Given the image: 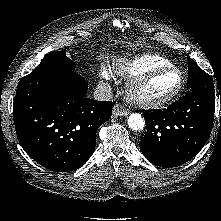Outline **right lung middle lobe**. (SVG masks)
Returning <instances> with one entry per match:
<instances>
[{"label": "right lung middle lobe", "mask_w": 221, "mask_h": 221, "mask_svg": "<svg viewBox=\"0 0 221 221\" xmlns=\"http://www.w3.org/2000/svg\"><path fill=\"white\" fill-rule=\"evenodd\" d=\"M75 64L69 59L65 51H54L46 55L40 64L29 74L34 75L42 71H47L51 69H75Z\"/></svg>", "instance_id": "right-lung-middle-lobe-1"}]
</instances>
